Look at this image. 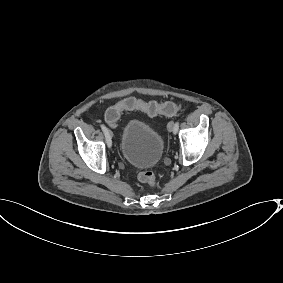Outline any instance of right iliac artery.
I'll use <instances>...</instances> for the list:
<instances>
[{"instance_id":"1","label":"right iliac artery","mask_w":283,"mask_h":283,"mask_svg":"<svg viewBox=\"0 0 283 283\" xmlns=\"http://www.w3.org/2000/svg\"><path fill=\"white\" fill-rule=\"evenodd\" d=\"M101 129H102V131L105 134L106 142H107L108 147H111L112 141H111V137L109 136L108 129L104 125H101Z\"/></svg>"}]
</instances>
